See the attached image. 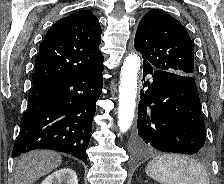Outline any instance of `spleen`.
Instances as JSON below:
<instances>
[{
  "label": "spleen",
  "instance_id": "spleen-1",
  "mask_svg": "<svg viewBox=\"0 0 224 184\" xmlns=\"http://www.w3.org/2000/svg\"><path fill=\"white\" fill-rule=\"evenodd\" d=\"M146 174L161 184H210L205 167L195 159L164 154L153 158Z\"/></svg>",
  "mask_w": 224,
  "mask_h": 184
}]
</instances>
